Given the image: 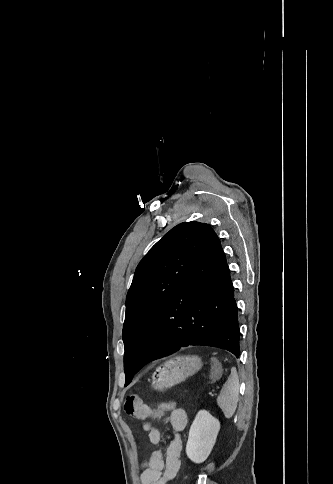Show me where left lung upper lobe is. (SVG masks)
<instances>
[{"label":"left lung upper lobe","instance_id":"1","mask_svg":"<svg viewBox=\"0 0 333 484\" xmlns=\"http://www.w3.org/2000/svg\"><path fill=\"white\" fill-rule=\"evenodd\" d=\"M211 226L184 222L164 235L138 264L126 298L122 338L125 385L142 367L140 351L152 324L189 259ZM173 297V296H172Z\"/></svg>","mask_w":333,"mask_h":484}]
</instances>
